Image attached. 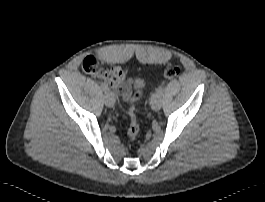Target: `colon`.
<instances>
[{"label":"colon","instance_id":"1","mask_svg":"<svg viewBox=\"0 0 265 202\" xmlns=\"http://www.w3.org/2000/svg\"><path fill=\"white\" fill-rule=\"evenodd\" d=\"M179 73H180L179 68L176 65L171 64L165 69L164 77L168 80H172L176 78L179 75ZM141 98H142V93L136 92L135 100L138 101ZM138 133H139V126L137 119L134 115H131L130 124L128 128V135L131 139H135L138 136Z\"/></svg>","mask_w":265,"mask_h":202}]
</instances>
